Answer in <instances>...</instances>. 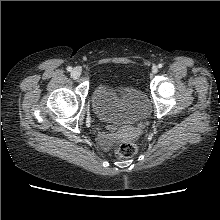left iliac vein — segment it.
Returning a JSON list of instances; mask_svg holds the SVG:
<instances>
[{
  "label": "left iliac vein",
  "mask_w": 220,
  "mask_h": 220,
  "mask_svg": "<svg viewBox=\"0 0 220 220\" xmlns=\"http://www.w3.org/2000/svg\"><path fill=\"white\" fill-rule=\"evenodd\" d=\"M157 71H158L157 66H153V68H152V73H153V74H156V73H157Z\"/></svg>",
  "instance_id": "1"
}]
</instances>
